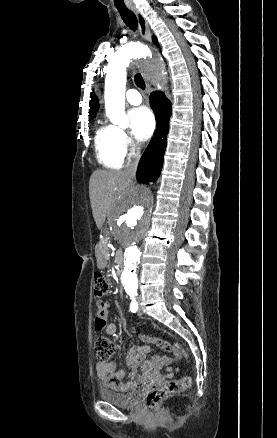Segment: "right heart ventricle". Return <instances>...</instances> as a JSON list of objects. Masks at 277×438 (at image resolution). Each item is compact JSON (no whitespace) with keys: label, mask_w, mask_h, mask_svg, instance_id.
I'll return each mask as SVG.
<instances>
[{"label":"right heart ventricle","mask_w":277,"mask_h":438,"mask_svg":"<svg viewBox=\"0 0 277 438\" xmlns=\"http://www.w3.org/2000/svg\"><path fill=\"white\" fill-rule=\"evenodd\" d=\"M119 130L115 125H103L95 135L98 162L108 169H121L124 163V156L118 145Z\"/></svg>","instance_id":"right-heart-ventricle-1"}]
</instances>
